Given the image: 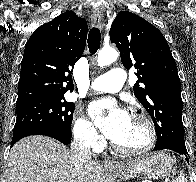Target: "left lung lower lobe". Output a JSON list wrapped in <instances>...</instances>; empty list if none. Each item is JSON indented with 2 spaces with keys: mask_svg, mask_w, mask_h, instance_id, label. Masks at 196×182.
<instances>
[{
  "mask_svg": "<svg viewBox=\"0 0 196 182\" xmlns=\"http://www.w3.org/2000/svg\"><path fill=\"white\" fill-rule=\"evenodd\" d=\"M157 150H172L176 153H179L185 157H187V149L185 143H179L175 141L164 142L162 144H156L153 151ZM187 162L189 163V159L186 158Z\"/></svg>",
  "mask_w": 196,
  "mask_h": 182,
  "instance_id": "1",
  "label": "left lung lower lobe"
}]
</instances>
